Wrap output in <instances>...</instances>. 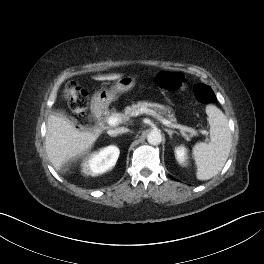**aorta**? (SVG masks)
Segmentation results:
<instances>
[{"label":"aorta","mask_w":264,"mask_h":264,"mask_svg":"<svg viewBox=\"0 0 264 264\" xmlns=\"http://www.w3.org/2000/svg\"><path fill=\"white\" fill-rule=\"evenodd\" d=\"M147 141L151 145H158L162 141V135L158 130H152L148 135H147Z\"/></svg>","instance_id":"obj_1"}]
</instances>
